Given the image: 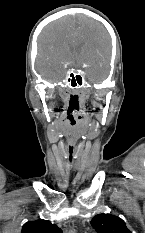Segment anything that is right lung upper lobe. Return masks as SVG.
<instances>
[{"instance_id": "1", "label": "right lung upper lobe", "mask_w": 145, "mask_h": 233, "mask_svg": "<svg viewBox=\"0 0 145 233\" xmlns=\"http://www.w3.org/2000/svg\"><path fill=\"white\" fill-rule=\"evenodd\" d=\"M21 233H63L60 228L47 220L27 222L22 227Z\"/></svg>"}]
</instances>
